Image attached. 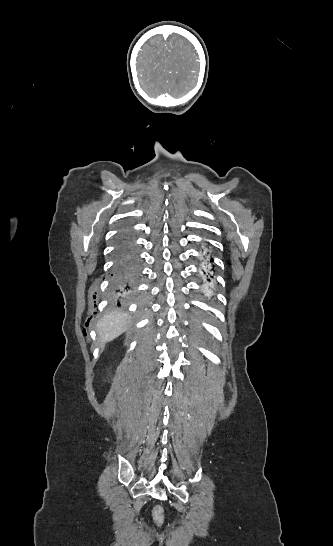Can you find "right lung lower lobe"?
<instances>
[{"label":"right lung lower lobe","mask_w":333,"mask_h":546,"mask_svg":"<svg viewBox=\"0 0 333 546\" xmlns=\"http://www.w3.org/2000/svg\"><path fill=\"white\" fill-rule=\"evenodd\" d=\"M114 256L116 263L111 274L112 283L118 295L127 296L132 291L137 276V252L133 240L129 237H121L116 245Z\"/></svg>","instance_id":"obj_1"}]
</instances>
